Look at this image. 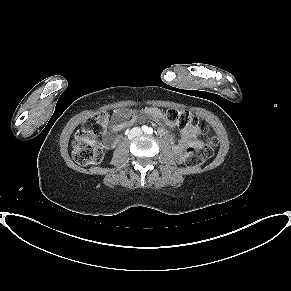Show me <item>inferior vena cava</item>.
<instances>
[{
  "label": "inferior vena cava",
  "instance_id": "602c4592",
  "mask_svg": "<svg viewBox=\"0 0 291 291\" xmlns=\"http://www.w3.org/2000/svg\"><path fill=\"white\" fill-rule=\"evenodd\" d=\"M142 133L141 129L139 127H134L130 130L129 134H128V138L132 139L138 135H140Z\"/></svg>",
  "mask_w": 291,
  "mask_h": 291
}]
</instances>
